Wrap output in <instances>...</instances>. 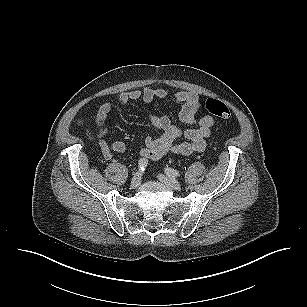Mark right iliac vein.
Returning a JSON list of instances; mask_svg holds the SVG:
<instances>
[{
  "mask_svg": "<svg viewBox=\"0 0 307 307\" xmlns=\"http://www.w3.org/2000/svg\"><path fill=\"white\" fill-rule=\"evenodd\" d=\"M140 182H141V174H140L139 172H137V173L133 176V178H132V180H131L130 187H131L132 189H136V188L139 187Z\"/></svg>",
  "mask_w": 307,
  "mask_h": 307,
  "instance_id": "63e3f726",
  "label": "right iliac vein"
}]
</instances>
